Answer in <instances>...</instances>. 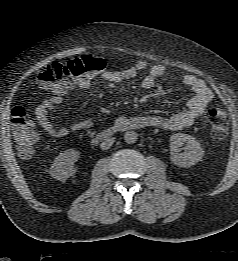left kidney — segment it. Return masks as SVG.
<instances>
[{"label": "left kidney", "instance_id": "obj_1", "mask_svg": "<svg viewBox=\"0 0 238 261\" xmlns=\"http://www.w3.org/2000/svg\"><path fill=\"white\" fill-rule=\"evenodd\" d=\"M184 144V152H181V146ZM203 156L204 150L194 137L183 133L170 137V159L175 165L189 168L201 161Z\"/></svg>", "mask_w": 238, "mask_h": 261}]
</instances>
